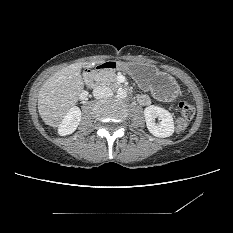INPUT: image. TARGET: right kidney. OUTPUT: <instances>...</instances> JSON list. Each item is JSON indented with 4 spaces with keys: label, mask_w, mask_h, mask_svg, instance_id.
Wrapping results in <instances>:
<instances>
[{
    "label": "right kidney",
    "mask_w": 233,
    "mask_h": 233,
    "mask_svg": "<svg viewBox=\"0 0 233 233\" xmlns=\"http://www.w3.org/2000/svg\"><path fill=\"white\" fill-rule=\"evenodd\" d=\"M81 120V111L78 107H72L59 125L58 133L61 136L72 134Z\"/></svg>",
    "instance_id": "obj_1"
}]
</instances>
